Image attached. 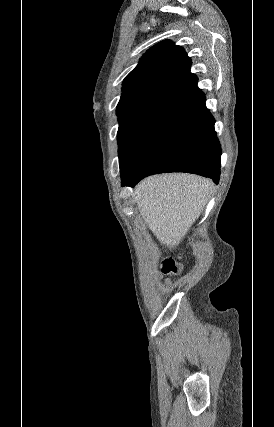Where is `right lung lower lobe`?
Returning a JSON list of instances; mask_svg holds the SVG:
<instances>
[{
  "label": "right lung lower lobe",
  "instance_id": "obj_1",
  "mask_svg": "<svg viewBox=\"0 0 274 427\" xmlns=\"http://www.w3.org/2000/svg\"><path fill=\"white\" fill-rule=\"evenodd\" d=\"M214 122L202 91L175 104L137 161L120 166L122 186L163 172L194 173L218 183L221 148Z\"/></svg>",
  "mask_w": 274,
  "mask_h": 427
}]
</instances>
